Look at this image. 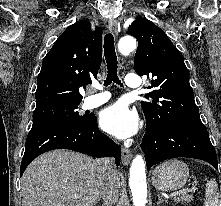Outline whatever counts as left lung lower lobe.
<instances>
[{
    "label": "left lung lower lobe",
    "mask_w": 221,
    "mask_h": 206,
    "mask_svg": "<svg viewBox=\"0 0 221 206\" xmlns=\"http://www.w3.org/2000/svg\"><path fill=\"white\" fill-rule=\"evenodd\" d=\"M148 169L153 165L176 157H189L209 162L218 170L217 156L204 125H179L148 130L143 137Z\"/></svg>",
    "instance_id": "left-lung-lower-lobe-1"
}]
</instances>
